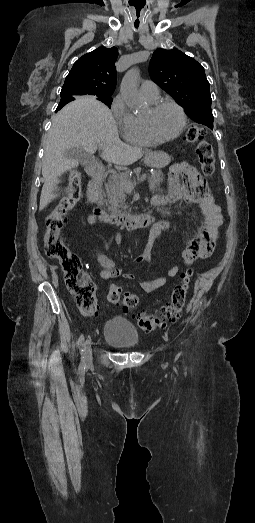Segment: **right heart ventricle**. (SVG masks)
I'll use <instances>...</instances> for the list:
<instances>
[{"label": "right heart ventricle", "mask_w": 255, "mask_h": 523, "mask_svg": "<svg viewBox=\"0 0 255 523\" xmlns=\"http://www.w3.org/2000/svg\"><path fill=\"white\" fill-rule=\"evenodd\" d=\"M143 98L148 104L151 105L158 101V98L153 99L144 96ZM142 118L143 117L129 112L125 120V125L122 132L123 137L126 142L135 146H147L153 143V141H151L143 129Z\"/></svg>", "instance_id": "obj_1"}]
</instances>
